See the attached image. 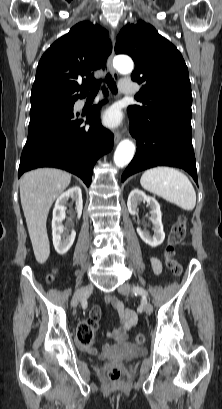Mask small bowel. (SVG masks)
<instances>
[{"label": "small bowel", "instance_id": "c3829d8e", "mask_svg": "<svg viewBox=\"0 0 222 409\" xmlns=\"http://www.w3.org/2000/svg\"><path fill=\"white\" fill-rule=\"evenodd\" d=\"M151 265L156 274H160L162 272V264L159 258L152 257ZM106 303L114 309L118 319V326L113 330L108 331L106 335L115 343L124 342L128 338L129 331L137 324V314L133 310L127 308L124 305L123 301L116 298L115 296H107ZM100 315V309L98 307H93L87 320L98 326ZM80 345L89 354L95 355L99 352L98 348L92 345V342L89 344L80 343ZM111 346V344H106L103 346V349L109 350Z\"/></svg>", "mask_w": 222, "mask_h": 409}]
</instances>
